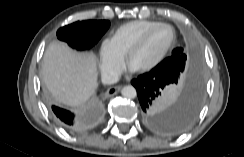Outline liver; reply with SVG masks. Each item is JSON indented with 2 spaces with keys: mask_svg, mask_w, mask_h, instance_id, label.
<instances>
[{
  "mask_svg": "<svg viewBox=\"0 0 244 157\" xmlns=\"http://www.w3.org/2000/svg\"><path fill=\"white\" fill-rule=\"evenodd\" d=\"M42 76L56 101L79 106L93 96L98 87L96 56L53 42L43 56Z\"/></svg>",
  "mask_w": 244,
  "mask_h": 157,
  "instance_id": "6515ba94",
  "label": "liver"
}]
</instances>
